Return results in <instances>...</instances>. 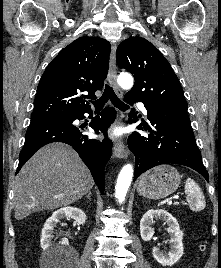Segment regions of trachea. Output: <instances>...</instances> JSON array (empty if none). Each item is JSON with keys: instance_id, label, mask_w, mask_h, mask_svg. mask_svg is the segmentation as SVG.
<instances>
[{"instance_id": "3493384b", "label": "trachea", "mask_w": 221, "mask_h": 268, "mask_svg": "<svg viewBox=\"0 0 221 268\" xmlns=\"http://www.w3.org/2000/svg\"><path fill=\"white\" fill-rule=\"evenodd\" d=\"M108 99L111 100V102L114 104V106H116L117 108H119L120 110H127L129 108L128 105L124 104L114 93L113 89L111 86H109L108 84L105 85V90L104 93L102 94V96L96 100V101H92V104L94 105V107L97 110H100L103 108V106L105 105V103L108 101Z\"/></svg>"}]
</instances>
